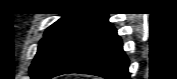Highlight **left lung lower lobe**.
Returning <instances> with one entry per match:
<instances>
[{"mask_svg":"<svg viewBox=\"0 0 177 79\" xmlns=\"http://www.w3.org/2000/svg\"><path fill=\"white\" fill-rule=\"evenodd\" d=\"M128 66L121 39L107 17L70 50L50 78L84 73L107 79H129Z\"/></svg>","mask_w":177,"mask_h":79,"instance_id":"0a47b994","label":"left lung lower lobe"}]
</instances>
